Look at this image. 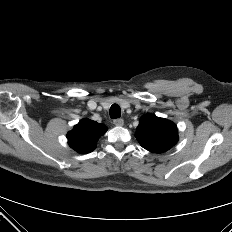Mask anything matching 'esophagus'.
<instances>
[{
  "mask_svg": "<svg viewBox=\"0 0 232 232\" xmlns=\"http://www.w3.org/2000/svg\"><path fill=\"white\" fill-rule=\"evenodd\" d=\"M113 123H114V125H116V126H123L124 120L121 119V118H118V119L113 120Z\"/></svg>",
  "mask_w": 232,
  "mask_h": 232,
  "instance_id": "esophagus-1",
  "label": "esophagus"
}]
</instances>
